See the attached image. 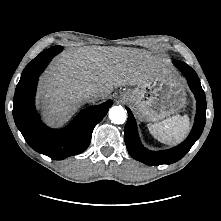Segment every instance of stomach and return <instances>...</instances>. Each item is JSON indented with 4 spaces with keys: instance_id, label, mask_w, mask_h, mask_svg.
Segmentation results:
<instances>
[{
    "instance_id": "obj_1",
    "label": "stomach",
    "mask_w": 221,
    "mask_h": 221,
    "mask_svg": "<svg viewBox=\"0 0 221 221\" xmlns=\"http://www.w3.org/2000/svg\"><path fill=\"white\" fill-rule=\"evenodd\" d=\"M122 97L134 106L140 119L151 122L178 112L186 104L183 82L166 72L133 89L124 90Z\"/></svg>"
}]
</instances>
